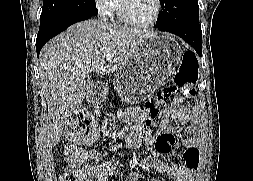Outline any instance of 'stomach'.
Instances as JSON below:
<instances>
[{
  "mask_svg": "<svg viewBox=\"0 0 253 181\" xmlns=\"http://www.w3.org/2000/svg\"><path fill=\"white\" fill-rule=\"evenodd\" d=\"M179 44L168 35L144 39L115 74L114 88L130 104L144 101L182 61Z\"/></svg>",
  "mask_w": 253,
  "mask_h": 181,
  "instance_id": "stomach-1",
  "label": "stomach"
}]
</instances>
